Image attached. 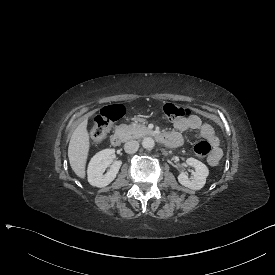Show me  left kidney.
<instances>
[{"label":"left kidney","instance_id":"left-kidney-1","mask_svg":"<svg viewBox=\"0 0 275 275\" xmlns=\"http://www.w3.org/2000/svg\"><path fill=\"white\" fill-rule=\"evenodd\" d=\"M186 163L194 169V177L189 180L185 173H181L178 176V182L189 189L200 190L206 182L207 168L203 163L194 158H187Z\"/></svg>","mask_w":275,"mask_h":275}]
</instances>
